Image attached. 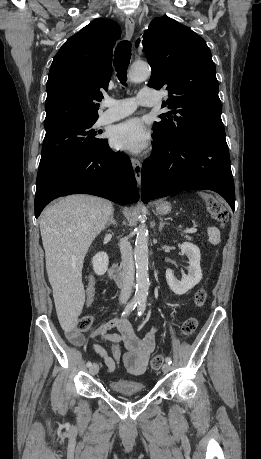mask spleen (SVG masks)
Masks as SVG:
<instances>
[{
    "instance_id": "3e777b00",
    "label": "spleen",
    "mask_w": 261,
    "mask_h": 459,
    "mask_svg": "<svg viewBox=\"0 0 261 459\" xmlns=\"http://www.w3.org/2000/svg\"><path fill=\"white\" fill-rule=\"evenodd\" d=\"M207 233L211 244H218L220 242V231L218 228L214 226L208 227Z\"/></svg>"
}]
</instances>
